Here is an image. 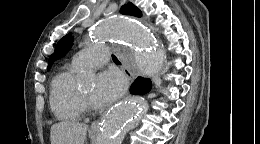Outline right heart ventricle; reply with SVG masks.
Instances as JSON below:
<instances>
[{
    "label": "right heart ventricle",
    "mask_w": 260,
    "mask_h": 144,
    "mask_svg": "<svg viewBox=\"0 0 260 144\" xmlns=\"http://www.w3.org/2000/svg\"><path fill=\"white\" fill-rule=\"evenodd\" d=\"M80 69L72 62L65 65L52 80L50 106L60 120L75 121L82 117L84 105L76 80V73Z\"/></svg>",
    "instance_id": "e07e8e85"
}]
</instances>
